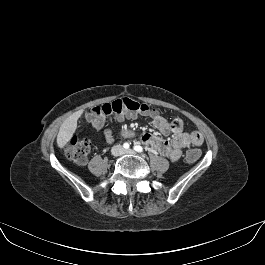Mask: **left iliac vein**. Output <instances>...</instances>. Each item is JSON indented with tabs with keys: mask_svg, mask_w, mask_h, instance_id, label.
Returning <instances> with one entry per match:
<instances>
[{
	"mask_svg": "<svg viewBox=\"0 0 265 265\" xmlns=\"http://www.w3.org/2000/svg\"><path fill=\"white\" fill-rule=\"evenodd\" d=\"M125 153L126 154H130V155H134L135 154V151L132 150V149H127V150H125Z\"/></svg>",
	"mask_w": 265,
	"mask_h": 265,
	"instance_id": "obj_1",
	"label": "left iliac vein"
}]
</instances>
